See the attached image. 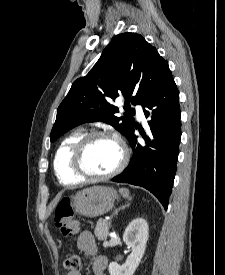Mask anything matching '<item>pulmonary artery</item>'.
I'll use <instances>...</instances> for the list:
<instances>
[{
  "instance_id": "obj_1",
  "label": "pulmonary artery",
  "mask_w": 225,
  "mask_h": 275,
  "mask_svg": "<svg viewBox=\"0 0 225 275\" xmlns=\"http://www.w3.org/2000/svg\"><path fill=\"white\" fill-rule=\"evenodd\" d=\"M135 108H136L138 118L143 119L144 118V112H143L142 106L141 105H136Z\"/></svg>"
}]
</instances>
